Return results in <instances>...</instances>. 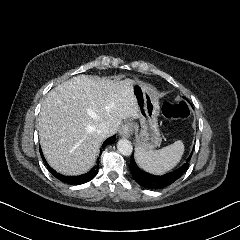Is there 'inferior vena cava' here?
<instances>
[{"mask_svg":"<svg viewBox=\"0 0 240 240\" xmlns=\"http://www.w3.org/2000/svg\"><path fill=\"white\" fill-rule=\"evenodd\" d=\"M118 125H109L106 123H100L98 126L97 133L100 135L102 138H106L110 136L112 132H114L117 129Z\"/></svg>","mask_w":240,"mask_h":240,"instance_id":"inferior-vena-cava-1","label":"inferior vena cava"}]
</instances>
